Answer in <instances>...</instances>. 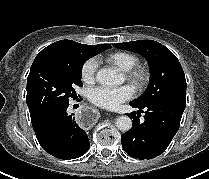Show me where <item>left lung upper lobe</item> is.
Here are the masks:
<instances>
[{"mask_svg": "<svg viewBox=\"0 0 209 179\" xmlns=\"http://www.w3.org/2000/svg\"><path fill=\"white\" fill-rule=\"evenodd\" d=\"M114 46L137 52L149 62V87L141 97L133 100V103L144 106L170 98H186L185 74L179 60L167 47L152 40H137Z\"/></svg>", "mask_w": 209, "mask_h": 179, "instance_id": "obj_1", "label": "left lung upper lobe"}]
</instances>
